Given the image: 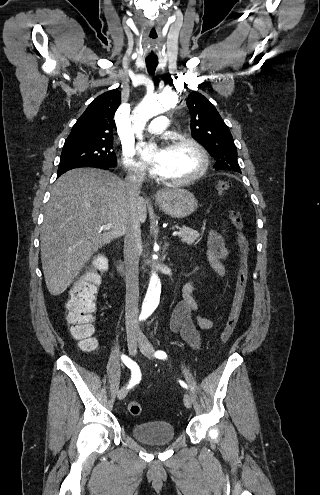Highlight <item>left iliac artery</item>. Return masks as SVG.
Returning <instances> with one entry per match:
<instances>
[{
  "mask_svg": "<svg viewBox=\"0 0 320 495\" xmlns=\"http://www.w3.org/2000/svg\"><path fill=\"white\" fill-rule=\"evenodd\" d=\"M155 356L159 359H166L167 358V354L165 351L163 350H158L156 353H155ZM179 383L182 387L184 388H188L187 384L181 380H179Z\"/></svg>",
  "mask_w": 320,
  "mask_h": 495,
  "instance_id": "left-iliac-artery-1",
  "label": "left iliac artery"
}]
</instances>
